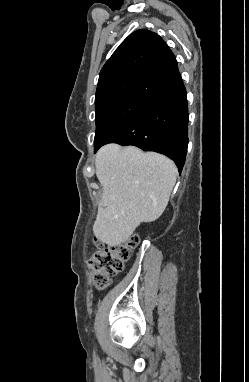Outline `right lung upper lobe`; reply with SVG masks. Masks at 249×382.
Returning <instances> with one entry per match:
<instances>
[{"mask_svg": "<svg viewBox=\"0 0 249 382\" xmlns=\"http://www.w3.org/2000/svg\"><path fill=\"white\" fill-rule=\"evenodd\" d=\"M180 77L176 58L163 39L139 29L120 44L103 66L95 108L128 97L151 100Z\"/></svg>", "mask_w": 249, "mask_h": 382, "instance_id": "obj_1", "label": "right lung upper lobe"}]
</instances>
